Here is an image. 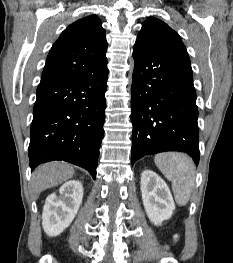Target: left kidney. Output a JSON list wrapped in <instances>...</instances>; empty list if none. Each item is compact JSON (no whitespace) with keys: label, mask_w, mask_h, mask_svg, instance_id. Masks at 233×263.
<instances>
[{"label":"left kidney","mask_w":233,"mask_h":263,"mask_svg":"<svg viewBox=\"0 0 233 263\" xmlns=\"http://www.w3.org/2000/svg\"><path fill=\"white\" fill-rule=\"evenodd\" d=\"M141 194L147 216L154 225H161L172 216L175 203L169 187L158 174L151 170L141 174Z\"/></svg>","instance_id":"1"}]
</instances>
